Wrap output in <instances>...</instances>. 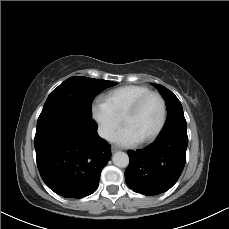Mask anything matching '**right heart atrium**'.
<instances>
[{
	"mask_svg": "<svg viewBox=\"0 0 229 229\" xmlns=\"http://www.w3.org/2000/svg\"><path fill=\"white\" fill-rule=\"evenodd\" d=\"M91 115L96 122L101 136L110 141L121 127V119L117 117L103 99L93 101Z\"/></svg>",
	"mask_w": 229,
	"mask_h": 229,
	"instance_id": "right-heart-atrium-1",
	"label": "right heart atrium"
}]
</instances>
